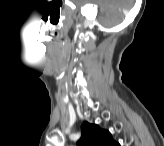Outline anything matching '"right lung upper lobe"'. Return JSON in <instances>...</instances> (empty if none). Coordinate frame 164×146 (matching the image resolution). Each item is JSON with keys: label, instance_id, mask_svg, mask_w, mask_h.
<instances>
[{"label": "right lung upper lobe", "instance_id": "cb5924a9", "mask_svg": "<svg viewBox=\"0 0 164 146\" xmlns=\"http://www.w3.org/2000/svg\"><path fill=\"white\" fill-rule=\"evenodd\" d=\"M79 146H117L110 132L101 129L98 125L84 122L82 136L77 143Z\"/></svg>", "mask_w": 164, "mask_h": 146}]
</instances>
